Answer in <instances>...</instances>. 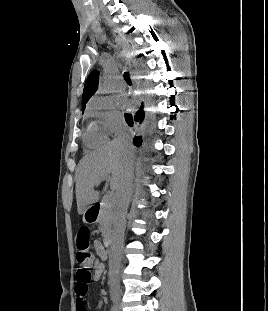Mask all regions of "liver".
Segmentation results:
<instances>
[{"label":"liver","instance_id":"liver-1","mask_svg":"<svg viewBox=\"0 0 268 311\" xmlns=\"http://www.w3.org/2000/svg\"><path fill=\"white\" fill-rule=\"evenodd\" d=\"M134 148L120 140H113L103 148L86 155L79 163L76 174V200L79 214L88 205L100 199L94 186L105 177H110V186L116 194L125 180L126 171L133 164Z\"/></svg>","mask_w":268,"mask_h":311}]
</instances>
